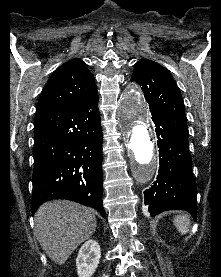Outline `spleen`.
<instances>
[{"label":"spleen","mask_w":221,"mask_h":277,"mask_svg":"<svg viewBox=\"0 0 221 277\" xmlns=\"http://www.w3.org/2000/svg\"><path fill=\"white\" fill-rule=\"evenodd\" d=\"M174 225L181 234H186L189 230L190 220L186 215H180L174 218Z\"/></svg>","instance_id":"obj_1"}]
</instances>
